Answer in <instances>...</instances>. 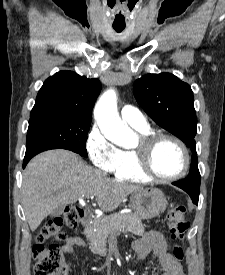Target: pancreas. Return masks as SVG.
<instances>
[{
    "label": "pancreas",
    "instance_id": "1",
    "mask_svg": "<svg viewBox=\"0 0 225 275\" xmlns=\"http://www.w3.org/2000/svg\"><path fill=\"white\" fill-rule=\"evenodd\" d=\"M123 230L135 235H142L145 232L141 219L134 213H114L105 218L95 219L92 225L85 230L91 251L94 254L105 256L107 238Z\"/></svg>",
    "mask_w": 225,
    "mask_h": 275
}]
</instances>
